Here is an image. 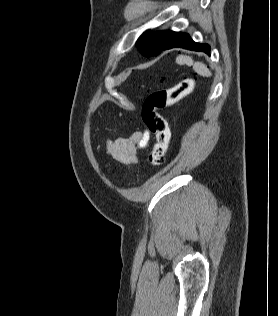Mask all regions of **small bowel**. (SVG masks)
<instances>
[{
	"mask_svg": "<svg viewBox=\"0 0 278 316\" xmlns=\"http://www.w3.org/2000/svg\"><path fill=\"white\" fill-rule=\"evenodd\" d=\"M150 140L148 131H134L129 137H117L106 141L105 149L108 157L125 165L132 167L137 163V153L145 148Z\"/></svg>",
	"mask_w": 278,
	"mask_h": 316,
	"instance_id": "small-bowel-1",
	"label": "small bowel"
}]
</instances>
